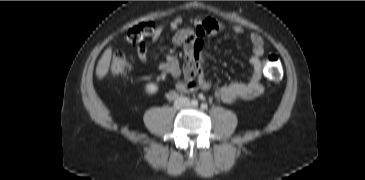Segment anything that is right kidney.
<instances>
[{
  "mask_svg": "<svg viewBox=\"0 0 365 180\" xmlns=\"http://www.w3.org/2000/svg\"><path fill=\"white\" fill-rule=\"evenodd\" d=\"M159 87L156 83H147L145 85V92L148 95H153L158 91Z\"/></svg>",
  "mask_w": 365,
  "mask_h": 180,
  "instance_id": "ca27d5eb",
  "label": "right kidney"
}]
</instances>
